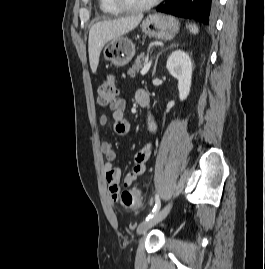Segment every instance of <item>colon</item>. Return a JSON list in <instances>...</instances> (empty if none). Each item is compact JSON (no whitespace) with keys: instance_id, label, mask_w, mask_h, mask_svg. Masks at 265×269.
<instances>
[{"instance_id":"5ec220e1","label":"colon","mask_w":265,"mask_h":269,"mask_svg":"<svg viewBox=\"0 0 265 269\" xmlns=\"http://www.w3.org/2000/svg\"><path fill=\"white\" fill-rule=\"evenodd\" d=\"M98 103L102 107H111L118 99V91L115 78L110 76L105 78L97 90ZM116 198L124 207L134 208L141 204L142 194L137 190L119 192L114 190Z\"/></svg>"}]
</instances>
